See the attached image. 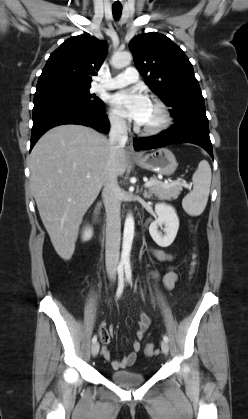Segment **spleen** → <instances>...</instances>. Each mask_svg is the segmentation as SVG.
I'll return each mask as SVG.
<instances>
[{"instance_id": "spleen-1", "label": "spleen", "mask_w": 248, "mask_h": 419, "mask_svg": "<svg viewBox=\"0 0 248 419\" xmlns=\"http://www.w3.org/2000/svg\"><path fill=\"white\" fill-rule=\"evenodd\" d=\"M211 168L202 160L192 177L193 190L182 201L183 209L190 216H199L205 209L211 185Z\"/></svg>"}]
</instances>
